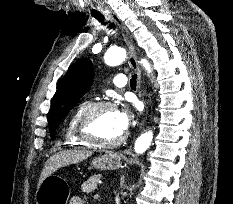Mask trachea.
<instances>
[{
    "label": "trachea",
    "mask_w": 233,
    "mask_h": 204,
    "mask_svg": "<svg viewBox=\"0 0 233 204\" xmlns=\"http://www.w3.org/2000/svg\"><path fill=\"white\" fill-rule=\"evenodd\" d=\"M94 18H96L99 22H101L104 25H108V28L113 29L115 27V24L110 23V22H105V18L104 16L99 13V12H95L91 14ZM137 85V75H133L131 80H130V86L131 88H136Z\"/></svg>",
    "instance_id": "1"
}]
</instances>
